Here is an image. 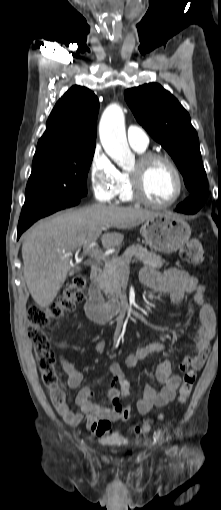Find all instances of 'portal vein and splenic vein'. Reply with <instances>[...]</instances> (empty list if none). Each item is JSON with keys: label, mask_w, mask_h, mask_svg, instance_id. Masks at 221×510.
Returning a JSON list of instances; mask_svg holds the SVG:
<instances>
[{"label": "portal vein and splenic vein", "mask_w": 221, "mask_h": 510, "mask_svg": "<svg viewBox=\"0 0 221 510\" xmlns=\"http://www.w3.org/2000/svg\"><path fill=\"white\" fill-rule=\"evenodd\" d=\"M98 237H99V234H97L91 240V242L86 246L87 247L86 254L89 255L91 258H93L95 260H98V261L105 260L106 262H109V257L108 256L104 255L101 250H98V249H95V248L92 247L95 244V242H96Z\"/></svg>", "instance_id": "portal-vein-and-splenic-vein-1"}]
</instances>
